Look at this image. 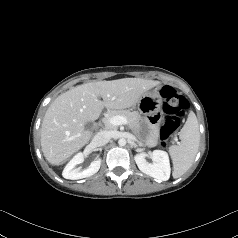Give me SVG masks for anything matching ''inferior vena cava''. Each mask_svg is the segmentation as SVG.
Here are the masks:
<instances>
[{"label": "inferior vena cava", "instance_id": "1", "mask_svg": "<svg viewBox=\"0 0 238 238\" xmlns=\"http://www.w3.org/2000/svg\"><path fill=\"white\" fill-rule=\"evenodd\" d=\"M109 140H110L109 133L106 131H100L94 136L92 142L95 146L99 147L106 145L109 142Z\"/></svg>", "mask_w": 238, "mask_h": 238}]
</instances>
